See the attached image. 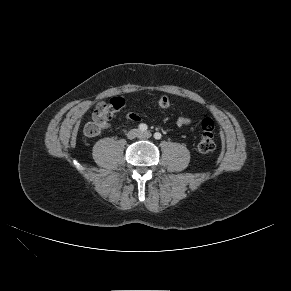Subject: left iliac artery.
I'll return each mask as SVG.
<instances>
[{
	"mask_svg": "<svg viewBox=\"0 0 291 291\" xmlns=\"http://www.w3.org/2000/svg\"><path fill=\"white\" fill-rule=\"evenodd\" d=\"M161 137H162V135H161V133H159V132H156V133L154 134V138L157 139V140L161 139Z\"/></svg>",
	"mask_w": 291,
	"mask_h": 291,
	"instance_id": "1",
	"label": "left iliac artery"
}]
</instances>
